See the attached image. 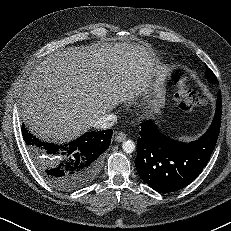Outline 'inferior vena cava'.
I'll use <instances>...</instances> for the list:
<instances>
[{"label": "inferior vena cava", "instance_id": "1", "mask_svg": "<svg viewBox=\"0 0 231 231\" xmlns=\"http://www.w3.org/2000/svg\"><path fill=\"white\" fill-rule=\"evenodd\" d=\"M117 121V116L115 114H107L104 116H101L96 122L95 127L99 129H108L112 127L115 122Z\"/></svg>", "mask_w": 231, "mask_h": 231}]
</instances>
